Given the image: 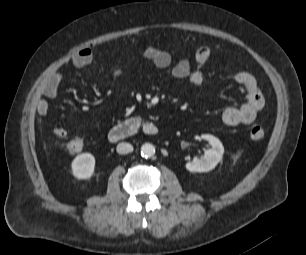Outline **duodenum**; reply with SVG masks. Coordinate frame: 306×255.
I'll return each mask as SVG.
<instances>
[{"instance_id":"1","label":"duodenum","mask_w":306,"mask_h":255,"mask_svg":"<svg viewBox=\"0 0 306 255\" xmlns=\"http://www.w3.org/2000/svg\"><path fill=\"white\" fill-rule=\"evenodd\" d=\"M139 132L148 136H155L159 129L153 122L133 117L114 125L108 133V139L110 142H118L133 137Z\"/></svg>"}]
</instances>
